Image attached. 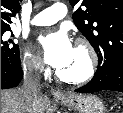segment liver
<instances>
[{"label":"liver","instance_id":"liver-1","mask_svg":"<svg viewBox=\"0 0 123 113\" xmlns=\"http://www.w3.org/2000/svg\"><path fill=\"white\" fill-rule=\"evenodd\" d=\"M45 100L39 96L29 104L16 89L1 90V113H44Z\"/></svg>","mask_w":123,"mask_h":113}]
</instances>
